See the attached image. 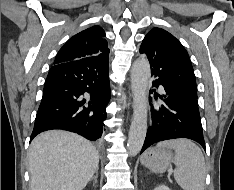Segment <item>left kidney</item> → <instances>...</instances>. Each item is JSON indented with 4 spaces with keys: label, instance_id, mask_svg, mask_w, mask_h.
I'll return each mask as SVG.
<instances>
[{
    "label": "left kidney",
    "instance_id": "obj_1",
    "mask_svg": "<svg viewBox=\"0 0 234 190\" xmlns=\"http://www.w3.org/2000/svg\"><path fill=\"white\" fill-rule=\"evenodd\" d=\"M154 190H171L166 185H159Z\"/></svg>",
    "mask_w": 234,
    "mask_h": 190
}]
</instances>
